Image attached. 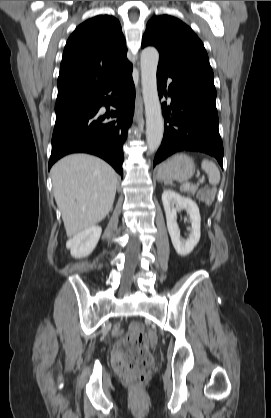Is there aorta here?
Listing matches in <instances>:
<instances>
[{
	"label": "aorta",
	"mask_w": 271,
	"mask_h": 418,
	"mask_svg": "<svg viewBox=\"0 0 271 418\" xmlns=\"http://www.w3.org/2000/svg\"><path fill=\"white\" fill-rule=\"evenodd\" d=\"M159 53L154 47L141 52V84L146 116V140L150 153L155 152L162 141L164 122L157 91V66Z\"/></svg>",
	"instance_id": "762f6f07"
}]
</instances>
